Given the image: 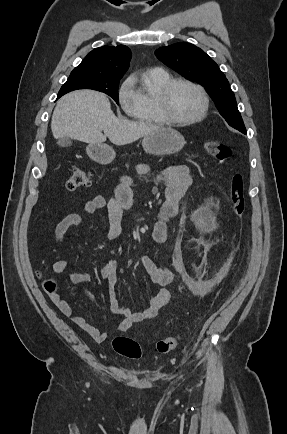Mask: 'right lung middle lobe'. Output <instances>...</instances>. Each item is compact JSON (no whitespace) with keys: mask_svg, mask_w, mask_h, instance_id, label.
I'll list each match as a JSON object with an SVG mask.
<instances>
[{"mask_svg":"<svg viewBox=\"0 0 287 434\" xmlns=\"http://www.w3.org/2000/svg\"><path fill=\"white\" fill-rule=\"evenodd\" d=\"M119 79H111L100 76H89L79 73H71L67 82L61 87L57 98L77 89H92L106 93L118 104Z\"/></svg>","mask_w":287,"mask_h":434,"instance_id":"dd1d6c3e","label":"right lung middle lobe"}]
</instances>
